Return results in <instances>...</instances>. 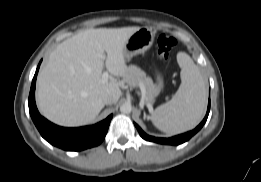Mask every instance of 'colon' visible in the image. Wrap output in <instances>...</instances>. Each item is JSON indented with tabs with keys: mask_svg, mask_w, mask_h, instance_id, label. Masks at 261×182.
<instances>
[{
	"mask_svg": "<svg viewBox=\"0 0 261 182\" xmlns=\"http://www.w3.org/2000/svg\"><path fill=\"white\" fill-rule=\"evenodd\" d=\"M176 41L169 35L160 34L157 38V51L160 61L167 62Z\"/></svg>",
	"mask_w": 261,
	"mask_h": 182,
	"instance_id": "colon-1",
	"label": "colon"
}]
</instances>
